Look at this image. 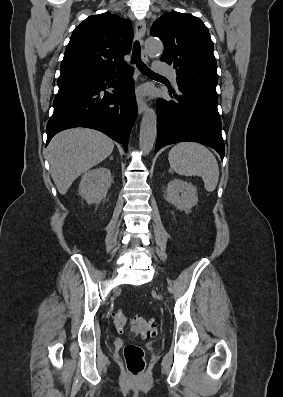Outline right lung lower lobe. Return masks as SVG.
I'll return each instance as SVG.
<instances>
[{
    "label": "right lung lower lobe",
    "instance_id": "1",
    "mask_svg": "<svg viewBox=\"0 0 283 397\" xmlns=\"http://www.w3.org/2000/svg\"><path fill=\"white\" fill-rule=\"evenodd\" d=\"M132 72V68L127 67L59 86L53 102L54 112L46 128L47 144L62 130L87 127L122 143L127 151L130 130L138 114ZM107 86L114 88L113 93L105 91Z\"/></svg>",
    "mask_w": 283,
    "mask_h": 397
}]
</instances>
